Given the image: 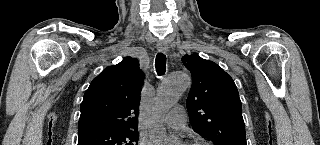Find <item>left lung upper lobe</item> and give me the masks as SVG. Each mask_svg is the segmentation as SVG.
<instances>
[{"instance_id": "1", "label": "left lung upper lobe", "mask_w": 320, "mask_h": 145, "mask_svg": "<svg viewBox=\"0 0 320 145\" xmlns=\"http://www.w3.org/2000/svg\"><path fill=\"white\" fill-rule=\"evenodd\" d=\"M192 75L187 99L195 132L215 145H247L242 106L233 79L216 63L197 54L182 58Z\"/></svg>"}]
</instances>
